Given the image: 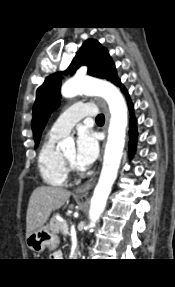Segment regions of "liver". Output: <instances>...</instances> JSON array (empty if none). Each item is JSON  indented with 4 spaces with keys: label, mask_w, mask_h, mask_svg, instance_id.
Returning <instances> with one entry per match:
<instances>
[{
    "label": "liver",
    "mask_w": 175,
    "mask_h": 287,
    "mask_svg": "<svg viewBox=\"0 0 175 287\" xmlns=\"http://www.w3.org/2000/svg\"><path fill=\"white\" fill-rule=\"evenodd\" d=\"M71 192L51 186H39L31 194L26 214V236L44 226L51 213L69 201Z\"/></svg>",
    "instance_id": "obj_1"
}]
</instances>
